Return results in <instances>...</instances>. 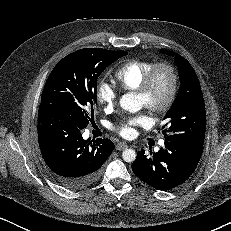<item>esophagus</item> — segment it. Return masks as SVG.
<instances>
[{
  "label": "esophagus",
  "instance_id": "34e87169",
  "mask_svg": "<svg viewBox=\"0 0 231 231\" xmlns=\"http://www.w3.org/2000/svg\"><path fill=\"white\" fill-rule=\"evenodd\" d=\"M128 147L127 143L125 142H119L117 145H116V149L121 151V150H124Z\"/></svg>",
  "mask_w": 231,
  "mask_h": 231
}]
</instances>
